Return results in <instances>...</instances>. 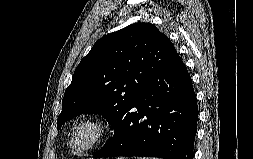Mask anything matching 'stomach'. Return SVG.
<instances>
[{"label": "stomach", "mask_w": 253, "mask_h": 159, "mask_svg": "<svg viewBox=\"0 0 253 159\" xmlns=\"http://www.w3.org/2000/svg\"><path fill=\"white\" fill-rule=\"evenodd\" d=\"M116 159H125L124 157H119V158H116Z\"/></svg>", "instance_id": "1"}]
</instances>
